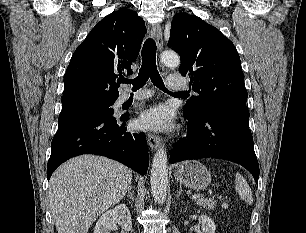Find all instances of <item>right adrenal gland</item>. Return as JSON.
Returning <instances> with one entry per match:
<instances>
[{
    "instance_id": "obj_1",
    "label": "right adrenal gland",
    "mask_w": 306,
    "mask_h": 233,
    "mask_svg": "<svg viewBox=\"0 0 306 233\" xmlns=\"http://www.w3.org/2000/svg\"><path fill=\"white\" fill-rule=\"evenodd\" d=\"M126 197L130 198L132 201L134 200L132 186L128 188V194Z\"/></svg>"
}]
</instances>
